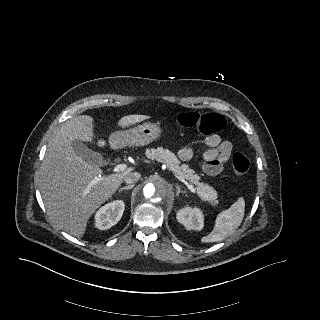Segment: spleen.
I'll use <instances>...</instances> for the list:
<instances>
[{
	"instance_id": "spleen-1",
	"label": "spleen",
	"mask_w": 320,
	"mask_h": 320,
	"mask_svg": "<svg viewBox=\"0 0 320 320\" xmlns=\"http://www.w3.org/2000/svg\"><path fill=\"white\" fill-rule=\"evenodd\" d=\"M244 212L245 201L243 197H239L229 209L217 215L212 232L204 236L201 241L203 243L217 242L230 236L241 225Z\"/></svg>"
}]
</instances>
